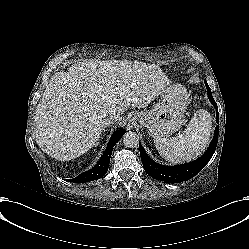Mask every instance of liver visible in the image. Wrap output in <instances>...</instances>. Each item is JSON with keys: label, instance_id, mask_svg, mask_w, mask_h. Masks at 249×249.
Masks as SVG:
<instances>
[{"label": "liver", "instance_id": "1", "mask_svg": "<svg viewBox=\"0 0 249 249\" xmlns=\"http://www.w3.org/2000/svg\"><path fill=\"white\" fill-rule=\"evenodd\" d=\"M165 87L156 66L89 61L58 73L37 106L35 137L58 160L75 159L99 143L103 120H118L130 106L144 108ZM117 120V121H118Z\"/></svg>", "mask_w": 249, "mask_h": 249}]
</instances>
